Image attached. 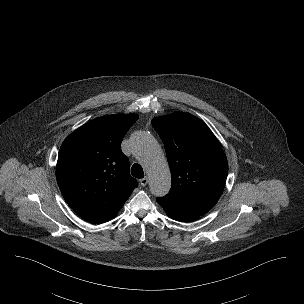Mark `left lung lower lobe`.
Returning a JSON list of instances; mask_svg holds the SVG:
<instances>
[{"label": "left lung lower lobe", "instance_id": "0a47b994", "mask_svg": "<svg viewBox=\"0 0 304 304\" xmlns=\"http://www.w3.org/2000/svg\"><path fill=\"white\" fill-rule=\"evenodd\" d=\"M156 201L162 206L166 214L177 221L188 222L198 218L200 215L189 212L180 206L173 204L163 198H156Z\"/></svg>", "mask_w": 304, "mask_h": 304}]
</instances>
